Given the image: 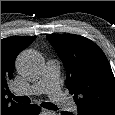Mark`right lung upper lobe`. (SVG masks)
<instances>
[{
    "mask_svg": "<svg viewBox=\"0 0 115 115\" xmlns=\"http://www.w3.org/2000/svg\"><path fill=\"white\" fill-rule=\"evenodd\" d=\"M35 38L36 36H14L1 39V115H11L24 106V104L13 102L7 96L11 93L8 82L12 78L17 55Z\"/></svg>",
    "mask_w": 115,
    "mask_h": 115,
    "instance_id": "1",
    "label": "right lung upper lobe"
}]
</instances>
